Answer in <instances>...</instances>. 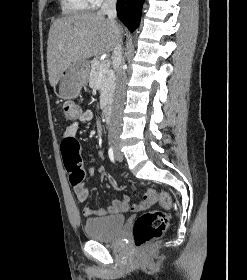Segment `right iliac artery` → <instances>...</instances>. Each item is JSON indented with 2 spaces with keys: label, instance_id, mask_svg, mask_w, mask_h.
I'll return each mask as SVG.
<instances>
[{
  "label": "right iliac artery",
  "instance_id": "1",
  "mask_svg": "<svg viewBox=\"0 0 247 280\" xmlns=\"http://www.w3.org/2000/svg\"><path fill=\"white\" fill-rule=\"evenodd\" d=\"M108 155H109V158L112 162H114V159H115V156H114V151H113V148H109V151H108Z\"/></svg>",
  "mask_w": 247,
  "mask_h": 280
}]
</instances>
